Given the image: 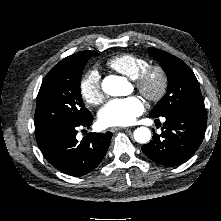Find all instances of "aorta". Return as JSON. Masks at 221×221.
<instances>
[{
  "label": "aorta",
  "mask_w": 221,
  "mask_h": 221,
  "mask_svg": "<svg viewBox=\"0 0 221 221\" xmlns=\"http://www.w3.org/2000/svg\"><path fill=\"white\" fill-rule=\"evenodd\" d=\"M103 91L111 96H124L128 93V81L121 76L110 75L102 82ZM151 131L147 127H139L134 131V139L146 144L150 141Z\"/></svg>",
  "instance_id": "762f6f07"
}]
</instances>
